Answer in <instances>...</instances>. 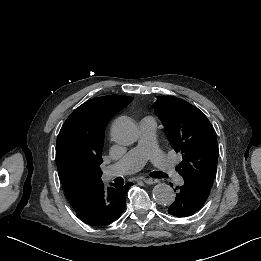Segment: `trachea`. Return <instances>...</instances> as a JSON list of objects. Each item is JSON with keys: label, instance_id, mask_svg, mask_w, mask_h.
<instances>
[{"label": "trachea", "instance_id": "trachea-1", "mask_svg": "<svg viewBox=\"0 0 261 261\" xmlns=\"http://www.w3.org/2000/svg\"><path fill=\"white\" fill-rule=\"evenodd\" d=\"M150 176L153 177V178H165L166 174L163 173V172H160V171H152L150 173Z\"/></svg>", "mask_w": 261, "mask_h": 261}]
</instances>
